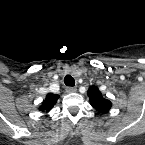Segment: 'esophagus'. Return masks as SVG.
I'll list each match as a JSON object with an SVG mask.
<instances>
[{"label":"esophagus","instance_id":"obj_1","mask_svg":"<svg viewBox=\"0 0 145 145\" xmlns=\"http://www.w3.org/2000/svg\"><path fill=\"white\" fill-rule=\"evenodd\" d=\"M77 91L76 87H67L66 92L67 93H75Z\"/></svg>","mask_w":145,"mask_h":145}]
</instances>
